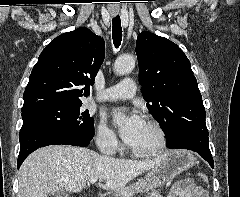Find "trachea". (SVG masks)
Returning a JSON list of instances; mask_svg holds the SVG:
<instances>
[{
    "label": "trachea",
    "instance_id": "1",
    "mask_svg": "<svg viewBox=\"0 0 240 197\" xmlns=\"http://www.w3.org/2000/svg\"><path fill=\"white\" fill-rule=\"evenodd\" d=\"M112 38L113 43L116 48H118L121 44L122 40V28H121V20L119 16H116L112 19Z\"/></svg>",
    "mask_w": 240,
    "mask_h": 197
}]
</instances>
